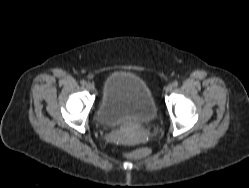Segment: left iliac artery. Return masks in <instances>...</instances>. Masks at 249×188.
<instances>
[{
  "mask_svg": "<svg viewBox=\"0 0 249 188\" xmlns=\"http://www.w3.org/2000/svg\"><path fill=\"white\" fill-rule=\"evenodd\" d=\"M172 86H173V87H177V86H178V81H174V82L172 83Z\"/></svg>",
  "mask_w": 249,
  "mask_h": 188,
  "instance_id": "1",
  "label": "left iliac artery"
}]
</instances>
